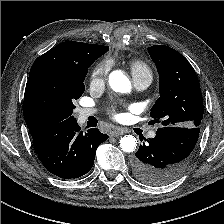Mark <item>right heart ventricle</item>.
Returning <instances> with one entry per match:
<instances>
[{"label": "right heart ventricle", "mask_w": 224, "mask_h": 224, "mask_svg": "<svg viewBox=\"0 0 224 224\" xmlns=\"http://www.w3.org/2000/svg\"><path fill=\"white\" fill-rule=\"evenodd\" d=\"M130 70L134 78L142 76H152L151 68L149 65L140 59H134L130 62Z\"/></svg>", "instance_id": "1"}]
</instances>
